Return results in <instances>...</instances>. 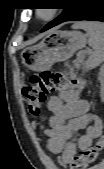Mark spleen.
Wrapping results in <instances>:
<instances>
[{
    "instance_id": "3e777b00",
    "label": "spleen",
    "mask_w": 104,
    "mask_h": 169,
    "mask_svg": "<svg viewBox=\"0 0 104 169\" xmlns=\"http://www.w3.org/2000/svg\"><path fill=\"white\" fill-rule=\"evenodd\" d=\"M73 28H80L87 32L88 44L93 51L85 62V69L91 70L99 66L104 61V26L98 22H79Z\"/></svg>"
}]
</instances>
